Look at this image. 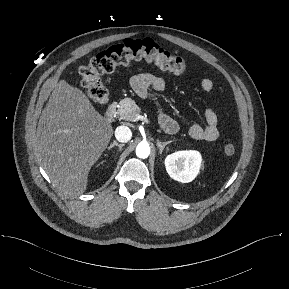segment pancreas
Listing matches in <instances>:
<instances>
[{
	"mask_svg": "<svg viewBox=\"0 0 289 289\" xmlns=\"http://www.w3.org/2000/svg\"><path fill=\"white\" fill-rule=\"evenodd\" d=\"M140 114V108L131 98H125L120 101L117 115L120 119L126 121H136V117Z\"/></svg>",
	"mask_w": 289,
	"mask_h": 289,
	"instance_id": "1",
	"label": "pancreas"
}]
</instances>
